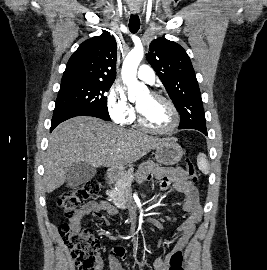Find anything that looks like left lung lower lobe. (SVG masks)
<instances>
[{
    "label": "left lung lower lobe",
    "mask_w": 267,
    "mask_h": 270,
    "mask_svg": "<svg viewBox=\"0 0 267 270\" xmlns=\"http://www.w3.org/2000/svg\"><path fill=\"white\" fill-rule=\"evenodd\" d=\"M193 129H196V130H199V131H201L202 133H204L206 136L208 135L207 134V129L205 128H193Z\"/></svg>",
    "instance_id": "1"
}]
</instances>
